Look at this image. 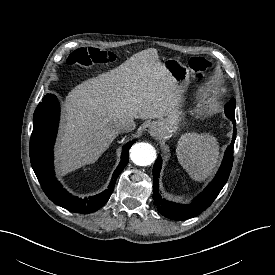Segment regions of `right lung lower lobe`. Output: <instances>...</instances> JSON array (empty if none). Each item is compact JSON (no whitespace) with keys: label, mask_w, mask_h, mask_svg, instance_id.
<instances>
[{"label":"right lung lower lobe","mask_w":275,"mask_h":275,"mask_svg":"<svg viewBox=\"0 0 275 275\" xmlns=\"http://www.w3.org/2000/svg\"><path fill=\"white\" fill-rule=\"evenodd\" d=\"M58 121L59 103L54 95L47 94L37 106L33 116V132L29 146L32 168L43 191L55 204L77 213L88 214L97 211L109 200L119 174L128 163L129 148L134 141L124 146L121 161L113 173L108 188L86 199L77 198L63 189L54 174L53 146Z\"/></svg>","instance_id":"right-lung-lower-lobe-1"}]
</instances>
